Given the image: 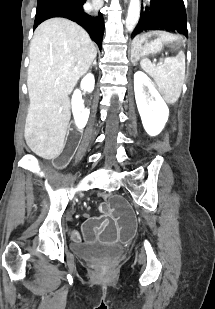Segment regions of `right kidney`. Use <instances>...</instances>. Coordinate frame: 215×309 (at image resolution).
Listing matches in <instances>:
<instances>
[{
  "mask_svg": "<svg viewBox=\"0 0 215 309\" xmlns=\"http://www.w3.org/2000/svg\"><path fill=\"white\" fill-rule=\"evenodd\" d=\"M81 86L84 88V90H88V92H92L94 86H95V78L94 74H91V72H88V74H85L84 78L81 80ZM76 102L79 110V116L76 118L75 112H74V104L73 102ZM72 110L75 118V122L78 126V128H84L90 114L89 108H85L84 106V100H82V94L81 90L79 88H76L72 94Z\"/></svg>",
  "mask_w": 215,
  "mask_h": 309,
  "instance_id": "ca27d5eb",
  "label": "right kidney"
}]
</instances>
